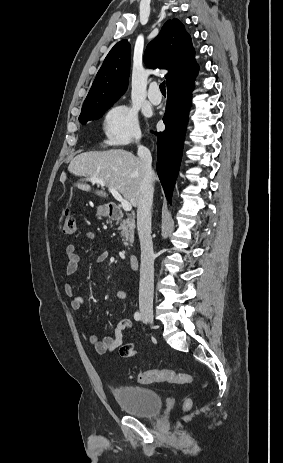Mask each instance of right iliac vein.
Here are the masks:
<instances>
[{"mask_svg":"<svg viewBox=\"0 0 283 463\" xmlns=\"http://www.w3.org/2000/svg\"><path fill=\"white\" fill-rule=\"evenodd\" d=\"M142 316L150 325H153V314L151 311L142 310Z\"/></svg>","mask_w":283,"mask_h":463,"instance_id":"right-iliac-vein-1","label":"right iliac vein"}]
</instances>
